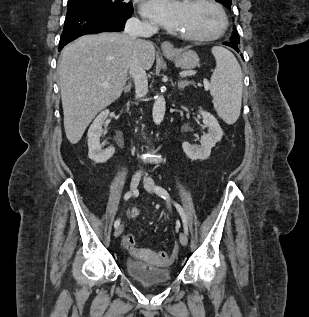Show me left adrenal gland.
<instances>
[{
    "label": "left adrenal gland",
    "mask_w": 309,
    "mask_h": 317,
    "mask_svg": "<svg viewBox=\"0 0 309 317\" xmlns=\"http://www.w3.org/2000/svg\"><path fill=\"white\" fill-rule=\"evenodd\" d=\"M193 84V82L191 81H187V80H182L180 79L177 83L178 89H184L186 86Z\"/></svg>",
    "instance_id": "left-adrenal-gland-1"
}]
</instances>
